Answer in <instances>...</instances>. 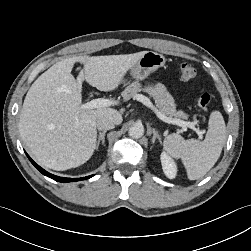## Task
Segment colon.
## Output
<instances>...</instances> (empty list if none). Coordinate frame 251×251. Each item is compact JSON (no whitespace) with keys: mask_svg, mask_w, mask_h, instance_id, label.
<instances>
[{"mask_svg":"<svg viewBox=\"0 0 251 251\" xmlns=\"http://www.w3.org/2000/svg\"><path fill=\"white\" fill-rule=\"evenodd\" d=\"M196 69L189 63L180 65V76L184 81L192 82L196 79ZM211 103V96L208 93H202L197 99V105L202 110H208Z\"/></svg>","mask_w":251,"mask_h":251,"instance_id":"5ec220e1","label":"colon"}]
</instances>
